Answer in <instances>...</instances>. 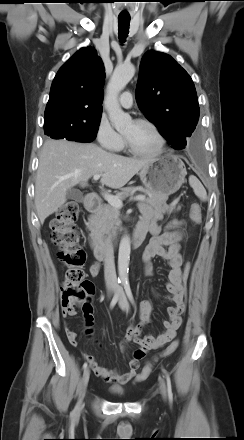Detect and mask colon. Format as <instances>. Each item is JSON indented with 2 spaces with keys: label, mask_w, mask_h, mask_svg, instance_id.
<instances>
[{
  "label": "colon",
  "mask_w": 244,
  "mask_h": 440,
  "mask_svg": "<svg viewBox=\"0 0 244 440\" xmlns=\"http://www.w3.org/2000/svg\"><path fill=\"white\" fill-rule=\"evenodd\" d=\"M79 214V206L76 202L65 203L50 221L51 241L59 247L58 258L65 266L63 281L61 284V308L65 317L76 314V309H90L92 307L90 296L94 292L93 284L85 279L84 265L86 261L85 251L80 247V236L75 228V221ZM190 217L195 224L201 222V207L193 203L190 209ZM191 271V262L187 259L183 265L182 279L187 289ZM185 304L182 305V311ZM177 340L171 342L159 355L166 357L174 353L178 348ZM144 345L139 346L134 355L144 358L148 352ZM158 357L146 363L141 372L137 375L135 382L145 381L151 374L154 363Z\"/></svg>",
  "instance_id": "5ec220e1"
}]
</instances>
